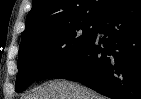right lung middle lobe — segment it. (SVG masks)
I'll use <instances>...</instances> for the list:
<instances>
[{"mask_svg": "<svg viewBox=\"0 0 141 99\" xmlns=\"http://www.w3.org/2000/svg\"><path fill=\"white\" fill-rule=\"evenodd\" d=\"M95 31L96 21L79 22L20 44L16 92L68 65Z\"/></svg>", "mask_w": 141, "mask_h": 99, "instance_id": "obj_1", "label": "right lung middle lobe"}]
</instances>
